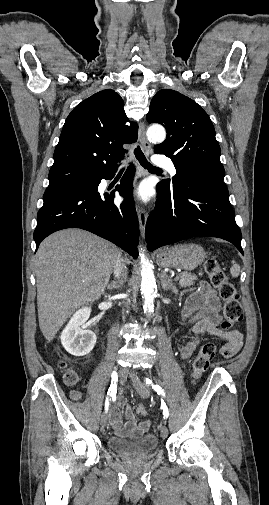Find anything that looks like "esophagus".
<instances>
[{"label":"esophagus","mask_w":269,"mask_h":505,"mask_svg":"<svg viewBox=\"0 0 269 505\" xmlns=\"http://www.w3.org/2000/svg\"><path fill=\"white\" fill-rule=\"evenodd\" d=\"M139 140H140L143 150L146 153H149L151 150V145L147 140V137L145 134V125L143 122H141L139 125ZM137 215H138V220H139L140 232H141L142 237L144 238L148 214H147V211L142 206L138 205L137 206Z\"/></svg>","instance_id":"esophagus-1"}]
</instances>
